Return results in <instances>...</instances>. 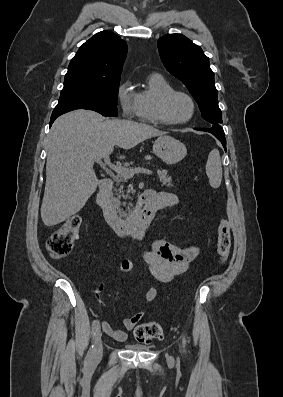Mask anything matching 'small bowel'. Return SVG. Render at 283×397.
<instances>
[{
  "label": "small bowel",
  "mask_w": 283,
  "mask_h": 397,
  "mask_svg": "<svg viewBox=\"0 0 283 397\" xmlns=\"http://www.w3.org/2000/svg\"><path fill=\"white\" fill-rule=\"evenodd\" d=\"M153 198L159 204V209L173 207L179 203L178 197L170 192L150 190ZM144 232L135 234L136 239H141ZM197 246L178 247L164 240H156L151 248L143 253V259L147 264L152 276L159 283L171 281L176 276L183 274L189 268L190 263L198 255ZM134 269V263L130 259L123 260L119 265V271L128 273ZM101 287L92 290L96 296L99 295ZM156 287H148L144 292L145 300L152 302L157 298ZM145 311H139L123 320L125 330L115 329L108 322L102 323L103 331L114 340L123 342L127 339L126 330H132L144 317Z\"/></svg>",
  "instance_id": "c3829d8e"
}]
</instances>
